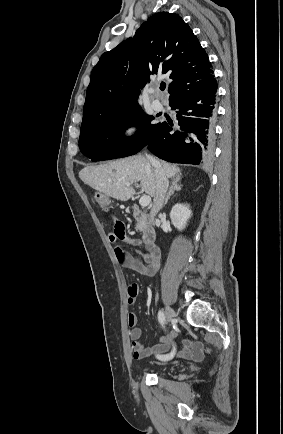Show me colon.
<instances>
[{"instance_id":"obj_1","label":"colon","mask_w":283,"mask_h":434,"mask_svg":"<svg viewBox=\"0 0 283 434\" xmlns=\"http://www.w3.org/2000/svg\"><path fill=\"white\" fill-rule=\"evenodd\" d=\"M96 202L99 205V207L105 211H109L112 207L110 198L102 193H98L96 195Z\"/></svg>"}]
</instances>
